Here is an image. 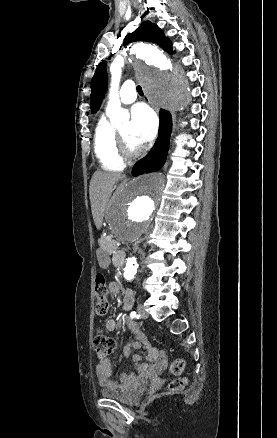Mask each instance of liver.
Segmentation results:
<instances>
[{
  "label": "liver",
  "instance_id": "obj_1",
  "mask_svg": "<svg viewBox=\"0 0 277 438\" xmlns=\"http://www.w3.org/2000/svg\"><path fill=\"white\" fill-rule=\"evenodd\" d=\"M125 178L120 172H95L90 184V202L94 224L100 230L103 224L104 212L107 208L109 198L113 192L112 188L116 182Z\"/></svg>",
  "mask_w": 277,
  "mask_h": 438
}]
</instances>
